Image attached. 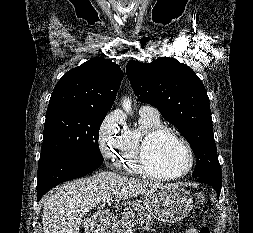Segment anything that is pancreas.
Here are the masks:
<instances>
[{
    "label": "pancreas",
    "mask_w": 253,
    "mask_h": 233,
    "mask_svg": "<svg viewBox=\"0 0 253 233\" xmlns=\"http://www.w3.org/2000/svg\"><path fill=\"white\" fill-rule=\"evenodd\" d=\"M134 222L141 224L145 230L155 231V229L152 228V216L146 213L145 208L141 204L132 203L125 208L117 233H125L128 226L133 225Z\"/></svg>",
    "instance_id": "1"
}]
</instances>
